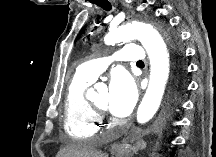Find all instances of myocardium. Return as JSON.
Segmentation results:
<instances>
[{"label":"myocardium","instance_id":"1","mask_svg":"<svg viewBox=\"0 0 216 157\" xmlns=\"http://www.w3.org/2000/svg\"><path fill=\"white\" fill-rule=\"evenodd\" d=\"M91 104H92V106L96 112H98V113H105L106 112V108L99 106L94 101H92Z\"/></svg>","mask_w":216,"mask_h":157}]
</instances>
